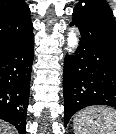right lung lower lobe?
<instances>
[{
    "mask_svg": "<svg viewBox=\"0 0 116 134\" xmlns=\"http://www.w3.org/2000/svg\"><path fill=\"white\" fill-rule=\"evenodd\" d=\"M32 30L0 51V119L26 132V111L34 57Z\"/></svg>",
    "mask_w": 116,
    "mask_h": 134,
    "instance_id": "right-lung-lower-lobe-1",
    "label": "right lung lower lobe"
}]
</instances>
